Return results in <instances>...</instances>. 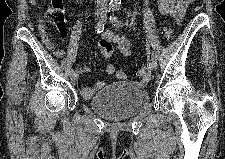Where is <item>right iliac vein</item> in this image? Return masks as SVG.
<instances>
[{
	"instance_id": "obj_1",
	"label": "right iliac vein",
	"mask_w": 225,
	"mask_h": 159,
	"mask_svg": "<svg viewBox=\"0 0 225 159\" xmlns=\"http://www.w3.org/2000/svg\"><path fill=\"white\" fill-rule=\"evenodd\" d=\"M70 78L73 82H76L78 80V74L76 72H73L70 74Z\"/></svg>"
}]
</instances>
